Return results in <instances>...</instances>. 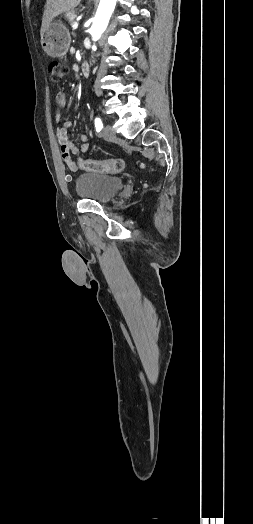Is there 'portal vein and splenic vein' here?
<instances>
[{
	"instance_id": "18ae733b",
	"label": "portal vein and splenic vein",
	"mask_w": 253,
	"mask_h": 524,
	"mask_svg": "<svg viewBox=\"0 0 253 524\" xmlns=\"http://www.w3.org/2000/svg\"><path fill=\"white\" fill-rule=\"evenodd\" d=\"M77 27H78V22H74V23L72 24V28H73V29H77Z\"/></svg>"
}]
</instances>
